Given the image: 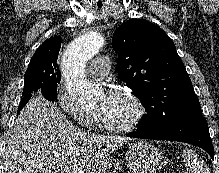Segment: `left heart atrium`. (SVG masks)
Instances as JSON below:
<instances>
[{"instance_id":"left-heart-atrium-1","label":"left heart atrium","mask_w":219,"mask_h":173,"mask_svg":"<svg viewBox=\"0 0 219 173\" xmlns=\"http://www.w3.org/2000/svg\"><path fill=\"white\" fill-rule=\"evenodd\" d=\"M112 93H107L105 95V103L110 99Z\"/></svg>"}]
</instances>
